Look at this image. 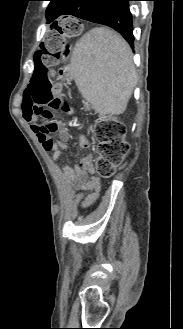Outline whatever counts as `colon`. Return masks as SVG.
I'll list each match as a JSON object with an SVG mask.
<instances>
[{
	"label": "colon",
	"mask_w": 183,
	"mask_h": 329,
	"mask_svg": "<svg viewBox=\"0 0 183 329\" xmlns=\"http://www.w3.org/2000/svg\"><path fill=\"white\" fill-rule=\"evenodd\" d=\"M79 19L75 14H58V19H52V25H45V31H40V38H45L40 44L37 54L31 56V67L35 68L32 81L25 86V99L22 114H32L41 119L40 132L50 135L56 132L50 120L55 111H70V98L64 91L65 75L61 68L68 55L66 44H75L77 32H80ZM82 44H89V37L81 38ZM125 125L116 118H102L95 124V136L98 151L95 161L96 172L101 177H110L123 162L129 143L125 138ZM52 140L45 141V147L50 148Z\"/></svg>",
	"instance_id": "5ec220e1"
}]
</instances>
